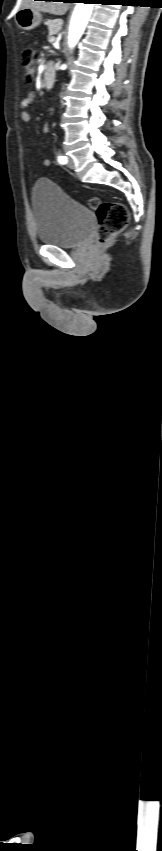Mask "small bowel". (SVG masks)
I'll use <instances>...</instances> for the list:
<instances>
[{
    "label": "small bowel",
    "instance_id": "obj_1",
    "mask_svg": "<svg viewBox=\"0 0 162 851\" xmlns=\"http://www.w3.org/2000/svg\"><path fill=\"white\" fill-rule=\"evenodd\" d=\"M34 98H35V94L33 92H30L26 96H24L23 99L21 100L20 105H21L22 111H21L20 117H21V120L24 123H28L31 120V116H30V113L28 112V109L33 105ZM48 128H49L48 125H45L44 131H47ZM43 164L45 166H50L51 161L49 159H44Z\"/></svg>",
    "mask_w": 162,
    "mask_h": 851
}]
</instances>
